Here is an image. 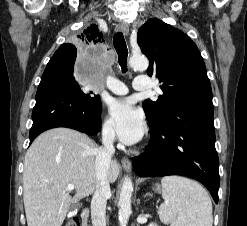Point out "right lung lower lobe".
Returning <instances> with one entry per match:
<instances>
[{
    "label": "right lung lower lobe",
    "mask_w": 247,
    "mask_h": 226,
    "mask_svg": "<svg viewBox=\"0 0 247 226\" xmlns=\"http://www.w3.org/2000/svg\"><path fill=\"white\" fill-rule=\"evenodd\" d=\"M30 143L45 130L67 127L94 135L101 129V102L84 93L63 62L51 60L42 75L32 112Z\"/></svg>",
    "instance_id": "right-lung-lower-lobe-1"
}]
</instances>
